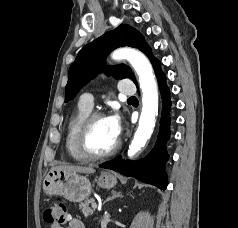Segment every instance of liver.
<instances>
[{"instance_id": "1", "label": "liver", "mask_w": 238, "mask_h": 228, "mask_svg": "<svg viewBox=\"0 0 238 228\" xmlns=\"http://www.w3.org/2000/svg\"><path fill=\"white\" fill-rule=\"evenodd\" d=\"M51 170H62L68 173H94L95 170L92 167H82L74 165H61L53 167Z\"/></svg>"}]
</instances>
